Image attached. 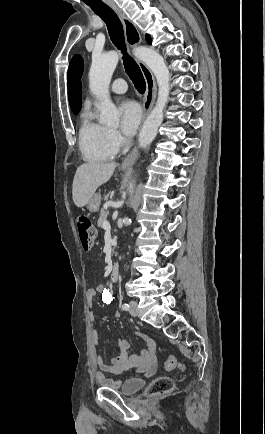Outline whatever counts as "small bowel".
Masks as SVG:
<instances>
[{"instance_id": "obj_1", "label": "small bowel", "mask_w": 265, "mask_h": 434, "mask_svg": "<svg viewBox=\"0 0 265 434\" xmlns=\"http://www.w3.org/2000/svg\"><path fill=\"white\" fill-rule=\"evenodd\" d=\"M106 292L105 287L102 284H97L93 288H89L86 292L87 301L90 305L93 304L95 297L98 293L104 294ZM91 320L95 319V314L93 312L90 313ZM116 318H121V310H116ZM138 337L144 341L145 349L135 355H129L128 350L130 348V343L126 339H119L117 343V351L118 354L111 358L110 362H106L101 353L98 351L95 354L94 362L98 369L100 370L97 373V376L102 381V385L104 387H117L120 384V381L117 378H105L106 373H121L126 368L139 364L144 372L145 377H151L155 374L157 370V361H156V344L155 342L149 338L144 333H138ZM92 338L95 345L99 346V334L98 331L94 330L92 332Z\"/></svg>"}]
</instances>
